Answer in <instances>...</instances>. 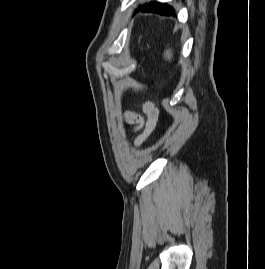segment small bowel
<instances>
[{
  "instance_id": "small-bowel-1",
  "label": "small bowel",
  "mask_w": 265,
  "mask_h": 269,
  "mask_svg": "<svg viewBox=\"0 0 265 269\" xmlns=\"http://www.w3.org/2000/svg\"><path fill=\"white\" fill-rule=\"evenodd\" d=\"M144 111L146 113V120L143 123V130L141 134L136 138V144L143 143L151 132L154 130L159 117V111L152 102H146L144 104ZM130 120H138L139 117L136 114L128 113Z\"/></svg>"
}]
</instances>
